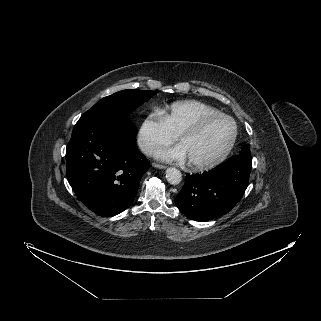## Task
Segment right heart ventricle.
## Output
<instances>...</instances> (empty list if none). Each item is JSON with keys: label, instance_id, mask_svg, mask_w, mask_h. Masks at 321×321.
I'll use <instances>...</instances> for the list:
<instances>
[{"label": "right heart ventricle", "instance_id": "right-heart-ventricle-1", "mask_svg": "<svg viewBox=\"0 0 321 321\" xmlns=\"http://www.w3.org/2000/svg\"><path fill=\"white\" fill-rule=\"evenodd\" d=\"M216 113H220L216 108L197 100L175 102L160 112L166 128L175 136L200 118Z\"/></svg>", "mask_w": 321, "mask_h": 321}]
</instances>
